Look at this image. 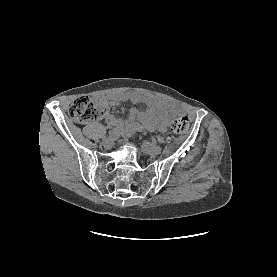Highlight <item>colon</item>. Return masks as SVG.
<instances>
[{"label": "colon", "mask_w": 277, "mask_h": 277, "mask_svg": "<svg viewBox=\"0 0 277 277\" xmlns=\"http://www.w3.org/2000/svg\"><path fill=\"white\" fill-rule=\"evenodd\" d=\"M107 108L101 104H96L89 98L81 96L75 99L70 108V117L77 122H88L101 119L106 116ZM190 125L187 116H180L174 119L171 123V131L175 134L185 133Z\"/></svg>", "instance_id": "1"}]
</instances>
